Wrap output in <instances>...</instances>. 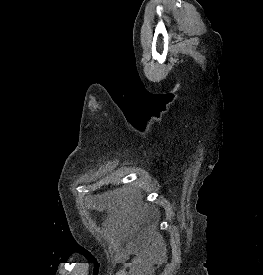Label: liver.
<instances>
[{"instance_id":"liver-1","label":"liver","mask_w":263,"mask_h":275,"mask_svg":"<svg viewBox=\"0 0 263 275\" xmlns=\"http://www.w3.org/2000/svg\"><path fill=\"white\" fill-rule=\"evenodd\" d=\"M97 199L109 209H114L120 218L128 222H133L135 218L147 216L149 213L147 206L142 207L140 203H135L134 195L127 189L114 190L98 196Z\"/></svg>"}]
</instances>
